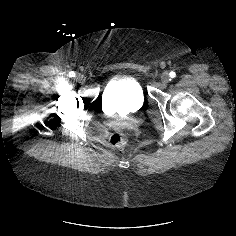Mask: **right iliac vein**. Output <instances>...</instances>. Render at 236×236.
<instances>
[{
    "mask_svg": "<svg viewBox=\"0 0 236 236\" xmlns=\"http://www.w3.org/2000/svg\"><path fill=\"white\" fill-rule=\"evenodd\" d=\"M75 79L80 83L84 82V77L80 74H78Z\"/></svg>",
    "mask_w": 236,
    "mask_h": 236,
    "instance_id": "right-iliac-vein-1",
    "label": "right iliac vein"
}]
</instances>
